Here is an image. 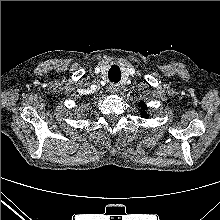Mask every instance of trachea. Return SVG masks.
<instances>
[{"label":"trachea","mask_w":220,"mask_h":220,"mask_svg":"<svg viewBox=\"0 0 220 220\" xmlns=\"http://www.w3.org/2000/svg\"><path fill=\"white\" fill-rule=\"evenodd\" d=\"M108 77H109V80L111 82H115V83H118L121 79V74L118 72V71H113L111 70L109 73H108Z\"/></svg>","instance_id":"1"}]
</instances>
